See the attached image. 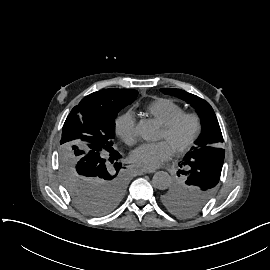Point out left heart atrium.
Segmentation results:
<instances>
[{
  "mask_svg": "<svg viewBox=\"0 0 270 270\" xmlns=\"http://www.w3.org/2000/svg\"><path fill=\"white\" fill-rule=\"evenodd\" d=\"M173 153V145L170 142L143 144L131 155L132 161L141 169L153 170L168 160Z\"/></svg>",
  "mask_w": 270,
  "mask_h": 270,
  "instance_id": "1",
  "label": "left heart atrium"
}]
</instances>
